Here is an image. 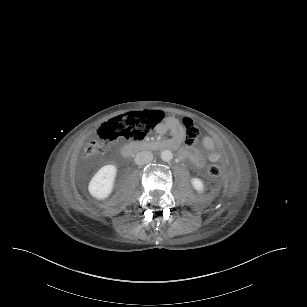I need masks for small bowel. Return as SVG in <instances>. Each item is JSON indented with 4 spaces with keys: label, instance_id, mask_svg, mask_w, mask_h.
<instances>
[{
    "label": "small bowel",
    "instance_id": "1",
    "mask_svg": "<svg viewBox=\"0 0 307 307\" xmlns=\"http://www.w3.org/2000/svg\"><path fill=\"white\" fill-rule=\"evenodd\" d=\"M169 129L172 137L169 141L172 142L173 148H178L184 139V130L182 125L175 120L169 121L166 125L160 127V131ZM202 145L208 151V160L210 162H218L220 153L216 150L215 141L210 136H205L202 139ZM179 156L182 159L189 160L196 167H203L205 159L200 150L196 147H182L179 150Z\"/></svg>",
    "mask_w": 307,
    "mask_h": 307
}]
</instances>
